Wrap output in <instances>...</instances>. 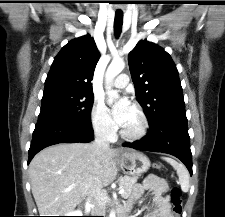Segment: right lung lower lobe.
<instances>
[{"instance_id":"98d812e1","label":"right lung lower lobe","mask_w":225,"mask_h":217,"mask_svg":"<svg viewBox=\"0 0 225 217\" xmlns=\"http://www.w3.org/2000/svg\"><path fill=\"white\" fill-rule=\"evenodd\" d=\"M94 138L90 118L74 120L54 114H39L29 149V162L40 150L58 143L90 142Z\"/></svg>"}]
</instances>
